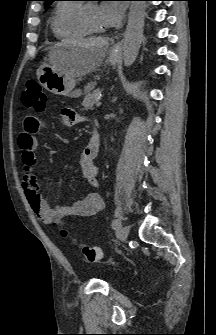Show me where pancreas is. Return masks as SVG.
Returning <instances> with one entry per match:
<instances>
[{
  "label": "pancreas",
  "mask_w": 216,
  "mask_h": 335,
  "mask_svg": "<svg viewBox=\"0 0 216 335\" xmlns=\"http://www.w3.org/2000/svg\"><path fill=\"white\" fill-rule=\"evenodd\" d=\"M100 94V90L96 89L93 92L89 90L86 91V96L82 102V106L84 110L93 109L94 105L97 103L98 96Z\"/></svg>",
  "instance_id": "1"
}]
</instances>
